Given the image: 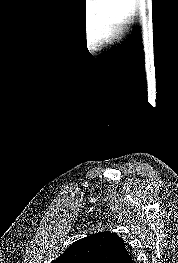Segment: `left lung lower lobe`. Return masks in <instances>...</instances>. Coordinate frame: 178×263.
<instances>
[{
    "instance_id": "obj_1",
    "label": "left lung lower lobe",
    "mask_w": 178,
    "mask_h": 263,
    "mask_svg": "<svg viewBox=\"0 0 178 263\" xmlns=\"http://www.w3.org/2000/svg\"><path fill=\"white\" fill-rule=\"evenodd\" d=\"M109 263H135V261L129 255L127 248L124 247L121 253L113 258Z\"/></svg>"
}]
</instances>
